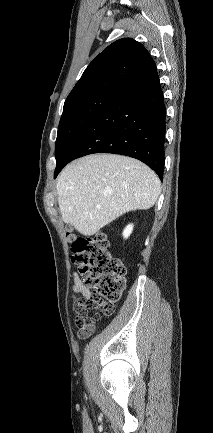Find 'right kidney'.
I'll return each mask as SVG.
<instances>
[{
	"label": "right kidney",
	"mask_w": 213,
	"mask_h": 433,
	"mask_svg": "<svg viewBox=\"0 0 213 433\" xmlns=\"http://www.w3.org/2000/svg\"><path fill=\"white\" fill-rule=\"evenodd\" d=\"M133 231V224H129L123 231V237L128 238Z\"/></svg>",
	"instance_id": "ca27d5eb"
}]
</instances>
